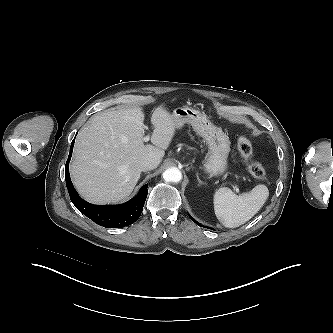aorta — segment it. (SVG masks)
<instances>
[{"label": "aorta", "mask_w": 333, "mask_h": 333, "mask_svg": "<svg viewBox=\"0 0 333 333\" xmlns=\"http://www.w3.org/2000/svg\"><path fill=\"white\" fill-rule=\"evenodd\" d=\"M163 178L167 182L177 183L182 179V174L178 168L171 167L164 171Z\"/></svg>", "instance_id": "1"}]
</instances>
